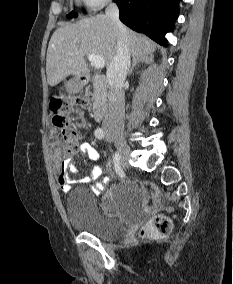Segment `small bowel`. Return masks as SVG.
Wrapping results in <instances>:
<instances>
[{
    "mask_svg": "<svg viewBox=\"0 0 233 284\" xmlns=\"http://www.w3.org/2000/svg\"><path fill=\"white\" fill-rule=\"evenodd\" d=\"M79 156L86 155L90 160L96 162L99 160V153L98 151L87 142H83L79 148ZM74 168L73 166V158L67 157L65 158L60 165L59 173H58V182L60 188L64 192H68L71 189V179L69 178V172L72 171ZM101 175V169L98 166L93 167L88 174L78 180V182L83 183H92L99 178ZM107 183V179L104 178L100 183L93 187L94 192H101Z\"/></svg>",
    "mask_w": 233,
    "mask_h": 284,
    "instance_id": "obj_1",
    "label": "small bowel"
}]
</instances>
